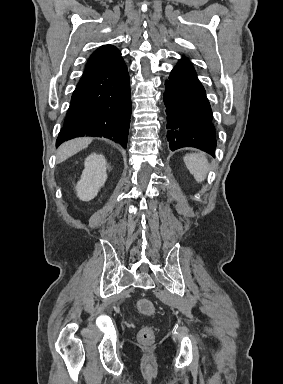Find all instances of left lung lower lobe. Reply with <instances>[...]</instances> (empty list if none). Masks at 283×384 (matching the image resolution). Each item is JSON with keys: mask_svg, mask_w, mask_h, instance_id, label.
Listing matches in <instances>:
<instances>
[{"mask_svg": "<svg viewBox=\"0 0 283 384\" xmlns=\"http://www.w3.org/2000/svg\"><path fill=\"white\" fill-rule=\"evenodd\" d=\"M167 140L171 150L195 147L215 157L216 133L205 89L192 64L182 58L165 81Z\"/></svg>", "mask_w": 283, "mask_h": 384, "instance_id": "0a47b994", "label": "left lung lower lobe"}]
</instances>
